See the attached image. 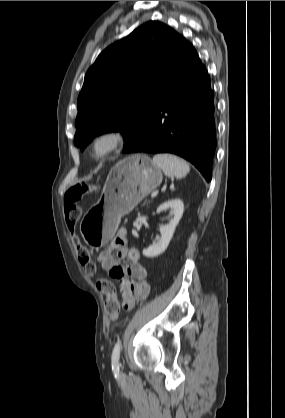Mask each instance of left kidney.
<instances>
[{
    "label": "left kidney",
    "instance_id": "1",
    "mask_svg": "<svg viewBox=\"0 0 285 418\" xmlns=\"http://www.w3.org/2000/svg\"><path fill=\"white\" fill-rule=\"evenodd\" d=\"M165 210H169L173 217L167 225H163L160 227L161 237L157 238L152 245H150L147 249L143 250V255L146 257H156L162 254L167 249L170 240L174 234L175 228L183 215L184 204L180 199L169 200L161 204L157 208L156 212L161 213Z\"/></svg>",
    "mask_w": 285,
    "mask_h": 418
}]
</instances>
